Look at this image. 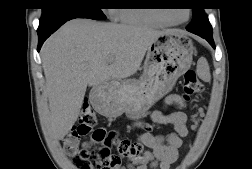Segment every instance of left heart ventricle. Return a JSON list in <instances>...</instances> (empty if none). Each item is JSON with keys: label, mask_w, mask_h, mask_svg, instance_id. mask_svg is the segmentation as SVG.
Returning <instances> with one entry per match:
<instances>
[{"label": "left heart ventricle", "mask_w": 252, "mask_h": 169, "mask_svg": "<svg viewBox=\"0 0 252 169\" xmlns=\"http://www.w3.org/2000/svg\"><path fill=\"white\" fill-rule=\"evenodd\" d=\"M187 12L185 9L168 10L165 13V17L172 21H182L186 18Z\"/></svg>", "instance_id": "b2bd125f"}]
</instances>
